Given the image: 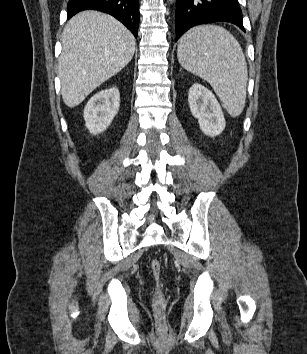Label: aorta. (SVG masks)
<instances>
[{
    "mask_svg": "<svg viewBox=\"0 0 307 354\" xmlns=\"http://www.w3.org/2000/svg\"><path fill=\"white\" fill-rule=\"evenodd\" d=\"M170 3H172L174 0H168Z\"/></svg>",
    "mask_w": 307,
    "mask_h": 354,
    "instance_id": "obj_1",
    "label": "aorta"
}]
</instances>
